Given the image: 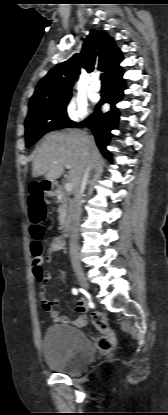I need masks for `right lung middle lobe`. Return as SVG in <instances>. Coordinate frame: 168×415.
I'll use <instances>...</instances> for the list:
<instances>
[{
    "instance_id": "right-lung-middle-lobe-1",
    "label": "right lung middle lobe",
    "mask_w": 168,
    "mask_h": 415,
    "mask_svg": "<svg viewBox=\"0 0 168 415\" xmlns=\"http://www.w3.org/2000/svg\"><path fill=\"white\" fill-rule=\"evenodd\" d=\"M70 98L71 95L29 110L25 121L26 147H30L50 131L68 128L74 124L66 113Z\"/></svg>"
}]
</instances>
